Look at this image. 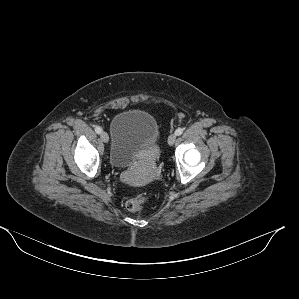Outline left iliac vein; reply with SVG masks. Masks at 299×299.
Wrapping results in <instances>:
<instances>
[{
    "label": "left iliac vein",
    "mask_w": 299,
    "mask_h": 299,
    "mask_svg": "<svg viewBox=\"0 0 299 299\" xmlns=\"http://www.w3.org/2000/svg\"><path fill=\"white\" fill-rule=\"evenodd\" d=\"M176 141V134H171L168 138V144L173 145Z\"/></svg>",
    "instance_id": "obj_1"
}]
</instances>
